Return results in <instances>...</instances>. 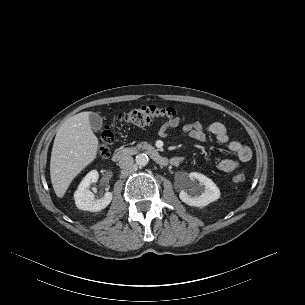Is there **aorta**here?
Masks as SVG:
<instances>
[{"mask_svg": "<svg viewBox=\"0 0 305 305\" xmlns=\"http://www.w3.org/2000/svg\"><path fill=\"white\" fill-rule=\"evenodd\" d=\"M135 160L138 166L144 167L148 164L149 158L146 154L142 153L138 154Z\"/></svg>", "mask_w": 305, "mask_h": 305, "instance_id": "aorta-1", "label": "aorta"}]
</instances>
